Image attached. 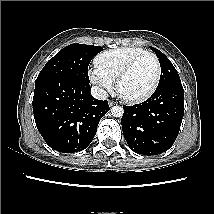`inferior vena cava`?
Returning <instances> with one entry per match:
<instances>
[{"label": "inferior vena cava", "mask_w": 214, "mask_h": 214, "mask_svg": "<svg viewBox=\"0 0 214 214\" xmlns=\"http://www.w3.org/2000/svg\"><path fill=\"white\" fill-rule=\"evenodd\" d=\"M91 94L94 98L98 100H105L108 98V93L103 88L99 86H92L91 87Z\"/></svg>", "instance_id": "obj_1"}]
</instances>
